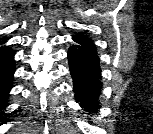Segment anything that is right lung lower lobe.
<instances>
[{
    "instance_id": "obj_1",
    "label": "right lung lower lobe",
    "mask_w": 153,
    "mask_h": 134,
    "mask_svg": "<svg viewBox=\"0 0 153 134\" xmlns=\"http://www.w3.org/2000/svg\"><path fill=\"white\" fill-rule=\"evenodd\" d=\"M14 52L11 48L0 47V117L7 104L8 93L12 88V80L15 72Z\"/></svg>"
}]
</instances>
